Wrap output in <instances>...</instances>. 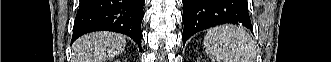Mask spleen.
Masks as SVG:
<instances>
[{
  "label": "spleen",
  "mask_w": 331,
  "mask_h": 62,
  "mask_svg": "<svg viewBox=\"0 0 331 62\" xmlns=\"http://www.w3.org/2000/svg\"><path fill=\"white\" fill-rule=\"evenodd\" d=\"M203 43L213 62H253L255 58L252 38L245 30L235 25L210 29Z\"/></svg>",
  "instance_id": "1"
}]
</instances>
